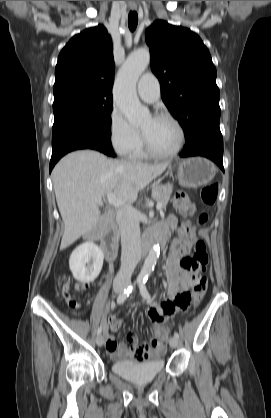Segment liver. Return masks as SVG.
<instances>
[{
    "label": "liver",
    "mask_w": 271,
    "mask_h": 418,
    "mask_svg": "<svg viewBox=\"0 0 271 418\" xmlns=\"http://www.w3.org/2000/svg\"><path fill=\"white\" fill-rule=\"evenodd\" d=\"M169 164L113 160L92 150L72 152L62 158L52 171L56 201L64 222L60 249L92 230L101 218L99 208L105 195L114 192L128 204Z\"/></svg>",
    "instance_id": "liver-1"
}]
</instances>
